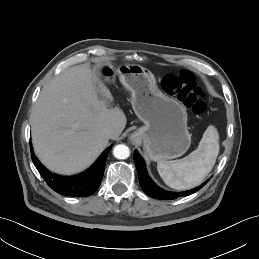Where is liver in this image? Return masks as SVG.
I'll return each instance as SVG.
<instances>
[{"mask_svg":"<svg viewBox=\"0 0 259 259\" xmlns=\"http://www.w3.org/2000/svg\"><path fill=\"white\" fill-rule=\"evenodd\" d=\"M101 94L113 101L109 89L88 64L69 68L41 91L32 110V143L40 161L51 171L71 175L88 168L107 147L105 128L116 139L126 126L118 108H108Z\"/></svg>","mask_w":259,"mask_h":259,"instance_id":"6515ba94","label":"liver"}]
</instances>
